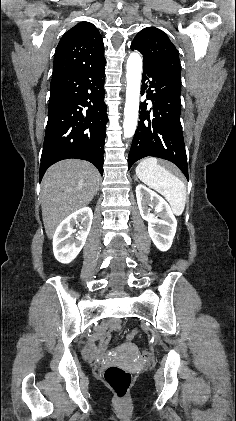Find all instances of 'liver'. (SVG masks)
I'll return each instance as SVG.
<instances>
[{
    "mask_svg": "<svg viewBox=\"0 0 236 421\" xmlns=\"http://www.w3.org/2000/svg\"><path fill=\"white\" fill-rule=\"evenodd\" d=\"M97 184L99 172L87 160L67 158L48 168L41 182L42 217L48 239H53L68 215L89 204Z\"/></svg>",
    "mask_w": 236,
    "mask_h": 421,
    "instance_id": "liver-1",
    "label": "liver"
}]
</instances>
